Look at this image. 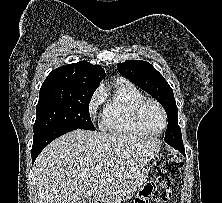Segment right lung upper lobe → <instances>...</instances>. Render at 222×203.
Wrapping results in <instances>:
<instances>
[{
  "mask_svg": "<svg viewBox=\"0 0 222 203\" xmlns=\"http://www.w3.org/2000/svg\"><path fill=\"white\" fill-rule=\"evenodd\" d=\"M105 76V71L99 65L80 61L53 70L46 77L40 90L54 87L97 89Z\"/></svg>",
  "mask_w": 222,
  "mask_h": 203,
  "instance_id": "obj_1",
  "label": "right lung upper lobe"
}]
</instances>
